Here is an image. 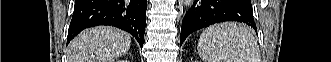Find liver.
Returning <instances> with one entry per match:
<instances>
[{
	"instance_id": "6515ba94",
	"label": "liver",
	"mask_w": 331,
	"mask_h": 62,
	"mask_svg": "<svg viewBox=\"0 0 331 62\" xmlns=\"http://www.w3.org/2000/svg\"><path fill=\"white\" fill-rule=\"evenodd\" d=\"M131 46L128 33L111 26L86 29L68 47V62H112Z\"/></svg>"
}]
</instances>
